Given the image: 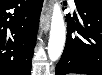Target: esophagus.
<instances>
[{
    "label": "esophagus",
    "mask_w": 102,
    "mask_h": 75,
    "mask_svg": "<svg viewBox=\"0 0 102 75\" xmlns=\"http://www.w3.org/2000/svg\"><path fill=\"white\" fill-rule=\"evenodd\" d=\"M51 13H52V0H44L40 17V24L44 32L48 31L50 28Z\"/></svg>",
    "instance_id": "34e87169"
}]
</instances>
